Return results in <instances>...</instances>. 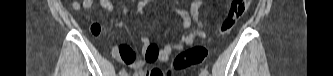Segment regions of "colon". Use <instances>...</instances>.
Wrapping results in <instances>:
<instances>
[{"label":"colon","mask_w":333,"mask_h":76,"mask_svg":"<svg viewBox=\"0 0 333 76\" xmlns=\"http://www.w3.org/2000/svg\"><path fill=\"white\" fill-rule=\"evenodd\" d=\"M248 0H233L231 2L227 16L220 25L219 32L221 35L228 34L235 21L245 12L248 7ZM207 57V49L203 46L192 47L183 53L179 54L173 61V69L182 70L190 66L199 65L204 62ZM168 75L171 74V69H165Z\"/></svg>","instance_id":"colon-1"}]
</instances>
